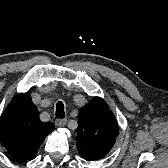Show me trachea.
I'll use <instances>...</instances> for the list:
<instances>
[{
	"instance_id": "1",
	"label": "trachea",
	"mask_w": 168,
	"mask_h": 168,
	"mask_svg": "<svg viewBox=\"0 0 168 168\" xmlns=\"http://www.w3.org/2000/svg\"><path fill=\"white\" fill-rule=\"evenodd\" d=\"M56 117L57 118H65L64 106L62 102H58L56 104Z\"/></svg>"
}]
</instances>
